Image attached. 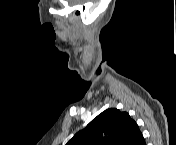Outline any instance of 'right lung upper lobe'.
<instances>
[{
	"instance_id": "cb5924a9",
	"label": "right lung upper lobe",
	"mask_w": 176,
	"mask_h": 145,
	"mask_svg": "<svg viewBox=\"0 0 176 145\" xmlns=\"http://www.w3.org/2000/svg\"><path fill=\"white\" fill-rule=\"evenodd\" d=\"M66 145H145V140L128 113L111 108L94 118Z\"/></svg>"
}]
</instances>
